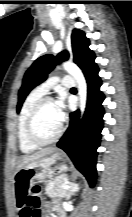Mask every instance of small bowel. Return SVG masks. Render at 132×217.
<instances>
[{
	"instance_id": "1",
	"label": "small bowel",
	"mask_w": 132,
	"mask_h": 217,
	"mask_svg": "<svg viewBox=\"0 0 132 217\" xmlns=\"http://www.w3.org/2000/svg\"><path fill=\"white\" fill-rule=\"evenodd\" d=\"M27 194H28L27 191H22V190H19L16 193V206L19 210V217H32L31 210L26 204ZM58 207H59V201L48 202L43 205L42 210L44 212H47L51 208H58ZM44 217H49V216L45 215ZM59 217H63V215Z\"/></svg>"
}]
</instances>
